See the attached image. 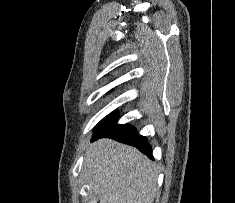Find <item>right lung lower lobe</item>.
<instances>
[{
	"label": "right lung lower lobe",
	"instance_id": "obj_1",
	"mask_svg": "<svg viewBox=\"0 0 235 203\" xmlns=\"http://www.w3.org/2000/svg\"><path fill=\"white\" fill-rule=\"evenodd\" d=\"M117 117L118 115H115L100 124L95 129L91 141L104 137L112 138L116 141L136 147L142 153L153 159L152 149L146 138L139 135L133 126L117 124Z\"/></svg>",
	"mask_w": 235,
	"mask_h": 203
}]
</instances>
